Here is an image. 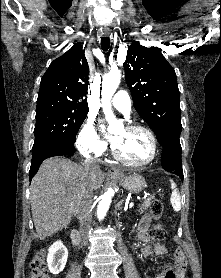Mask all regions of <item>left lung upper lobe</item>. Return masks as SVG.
<instances>
[{
    "mask_svg": "<svg viewBox=\"0 0 221 278\" xmlns=\"http://www.w3.org/2000/svg\"><path fill=\"white\" fill-rule=\"evenodd\" d=\"M124 70L134 107L160 145L180 143L182 125L176 74L160 49L132 41Z\"/></svg>",
    "mask_w": 221,
    "mask_h": 278,
    "instance_id": "1",
    "label": "left lung upper lobe"
}]
</instances>
